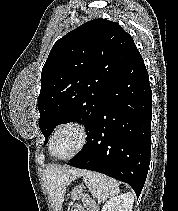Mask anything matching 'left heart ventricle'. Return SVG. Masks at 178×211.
Instances as JSON below:
<instances>
[{
    "instance_id": "1",
    "label": "left heart ventricle",
    "mask_w": 178,
    "mask_h": 211,
    "mask_svg": "<svg viewBox=\"0 0 178 211\" xmlns=\"http://www.w3.org/2000/svg\"><path fill=\"white\" fill-rule=\"evenodd\" d=\"M80 135L74 128L62 129L55 140V151L59 156L71 154L79 145Z\"/></svg>"
}]
</instances>
